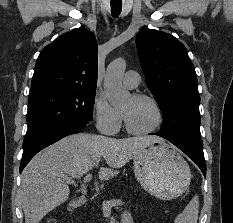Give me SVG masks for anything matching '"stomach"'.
I'll use <instances>...</instances> for the list:
<instances>
[{
	"label": "stomach",
	"mask_w": 233,
	"mask_h": 223,
	"mask_svg": "<svg viewBox=\"0 0 233 223\" xmlns=\"http://www.w3.org/2000/svg\"><path fill=\"white\" fill-rule=\"evenodd\" d=\"M135 177L158 199H174L188 189L191 169L180 153L165 141L141 149L133 161Z\"/></svg>",
	"instance_id": "stomach-1"
}]
</instances>
